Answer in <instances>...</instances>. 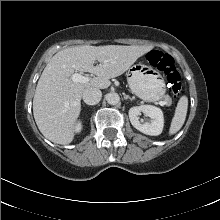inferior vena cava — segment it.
Here are the masks:
<instances>
[{
	"instance_id": "1",
	"label": "inferior vena cava",
	"mask_w": 220,
	"mask_h": 220,
	"mask_svg": "<svg viewBox=\"0 0 220 220\" xmlns=\"http://www.w3.org/2000/svg\"><path fill=\"white\" fill-rule=\"evenodd\" d=\"M83 101L88 105H95L100 102L102 92L97 88H87L83 92Z\"/></svg>"
}]
</instances>
